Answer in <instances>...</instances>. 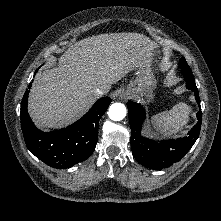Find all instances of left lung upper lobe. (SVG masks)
Returning a JSON list of instances; mask_svg holds the SVG:
<instances>
[{
	"instance_id": "left-lung-upper-lobe-1",
	"label": "left lung upper lobe",
	"mask_w": 221,
	"mask_h": 221,
	"mask_svg": "<svg viewBox=\"0 0 221 221\" xmlns=\"http://www.w3.org/2000/svg\"><path fill=\"white\" fill-rule=\"evenodd\" d=\"M179 67L182 69L183 72H191V69L190 67L188 66L186 60L184 57H182L180 59V62H179Z\"/></svg>"
}]
</instances>
